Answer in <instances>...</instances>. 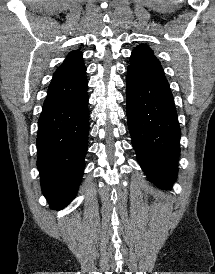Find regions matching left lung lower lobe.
Returning <instances> with one entry per match:
<instances>
[{
    "label": "left lung lower lobe",
    "instance_id": "left-lung-lower-lobe-1",
    "mask_svg": "<svg viewBox=\"0 0 215 274\" xmlns=\"http://www.w3.org/2000/svg\"><path fill=\"white\" fill-rule=\"evenodd\" d=\"M127 119L138 162L149 180L163 189L178 172L180 127L165 77L128 66Z\"/></svg>",
    "mask_w": 215,
    "mask_h": 274
}]
</instances>
